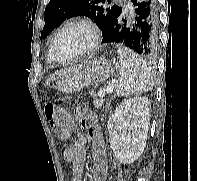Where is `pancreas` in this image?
<instances>
[{"label":"pancreas","instance_id":"1","mask_svg":"<svg viewBox=\"0 0 197 181\" xmlns=\"http://www.w3.org/2000/svg\"><path fill=\"white\" fill-rule=\"evenodd\" d=\"M94 106L99 109L103 106V100L102 99H95L93 101Z\"/></svg>","mask_w":197,"mask_h":181}]
</instances>
